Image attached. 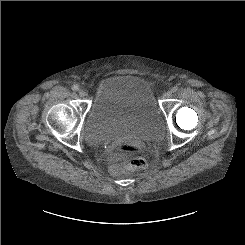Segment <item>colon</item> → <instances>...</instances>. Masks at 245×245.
Wrapping results in <instances>:
<instances>
[{"label":"colon","mask_w":245,"mask_h":245,"mask_svg":"<svg viewBox=\"0 0 245 245\" xmlns=\"http://www.w3.org/2000/svg\"><path fill=\"white\" fill-rule=\"evenodd\" d=\"M118 150L122 153H140L142 152L141 147L138 145L129 142L122 141L118 144ZM147 168V161L142 156H136L132 158L130 161L124 164H113L110 167V172L113 175L121 174L124 171H140Z\"/></svg>","instance_id":"obj_1"}]
</instances>
